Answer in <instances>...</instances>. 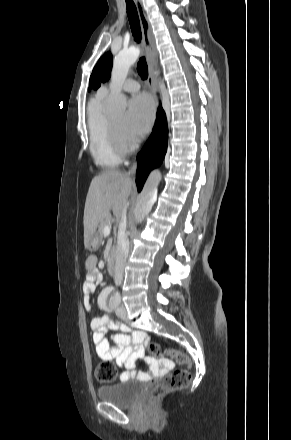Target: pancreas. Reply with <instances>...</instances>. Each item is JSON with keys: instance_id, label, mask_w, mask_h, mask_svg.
<instances>
[{"instance_id": "cf45deb5", "label": "pancreas", "mask_w": 291, "mask_h": 440, "mask_svg": "<svg viewBox=\"0 0 291 440\" xmlns=\"http://www.w3.org/2000/svg\"><path fill=\"white\" fill-rule=\"evenodd\" d=\"M110 219H111L110 216H108L105 219L100 221V224H99V227H98V235H99L100 238H102L103 235H104V227L106 225L110 226Z\"/></svg>"}]
</instances>
